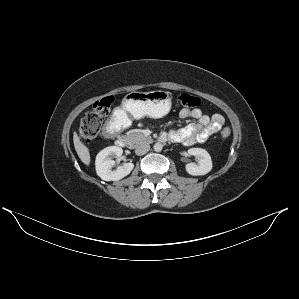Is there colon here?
Returning a JSON list of instances; mask_svg holds the SVG:
<instances>
[{"label":"colon","instance_id":"colon-1","mask_svg":"<svg viewBox=\"0 0 299 299\" xmlns=\"http://www.w3.org/2000/svg\"><path fill=\"white\" fill-rule=\"evenodd\" d=\"M177 102L180 107L185 109L195 108L200 105V100L188 93L179 94ZM112 104V97H104L95 102L92 109L83 116L79 125V135L83 141L89 143L97 137L102 120L110 114ZM230 133L229 127H224L221 130V136L223 138L229 137Z\"/></svg>","mask_w":299,"mask_h":299}]
</instances>
